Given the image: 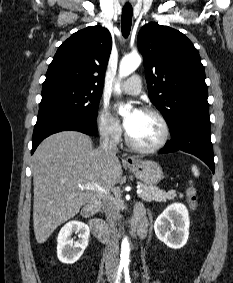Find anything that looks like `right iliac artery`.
Masks as SVG:
<instances>
[{
  "label": "right iliac artery",
  "mask_w": 233,
  "mask_h": 283,
  "mask_svg": "<svg viewBox=\"0 0 233 283\" xmlns=\"http://www.w3.org/2000/svg\"><path fill=\"white\" fill-rule=\"evenodd\" d=\"M122 270H123V266H119L118 271H117V275H116L115 283H120Z\"/></svg>",
  "instance_id": "82829eb1"
}]
</instances>
